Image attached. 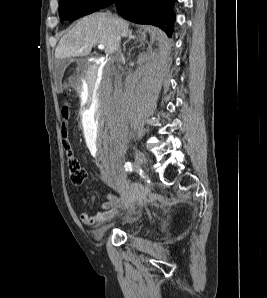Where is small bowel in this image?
<instances>
[{
	"label": "small bowel",
	"mask_w": 267,
	"mask_h": 298,
	"mask_svg": "<svg viewBox=\"0 0 267 298\" xmlns=\"http://www.w3.org/2000/svg\"><path fill=\"white\" fill-rule=\"evenodd\" d=\"M112 187L117 191V194H107L106 200L101 205V211L95 215L83 212L80 219L87 226L101 225L113 219L118 213V207L122 205L126 199L131 197V192L125 181L117 178L111 181Z\"/></svg>",
	"instance_id": "small-bowel-1"
}]
</instances>
